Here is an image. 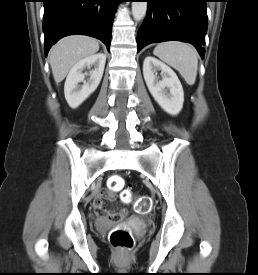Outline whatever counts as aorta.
<instances>
[{
    "mask_svg": "<svg viewBox=\"0 0 258 275\" xmlns=\"http://www.w3.org/2000/svg\"><path fill=\"white\" fill-rule=\"evenodd\" d=\"M147 11V2H132V15L135 21H141Z\"/></svg>",
    "mask_w": 258,
    "mask_h": 275,
    "instance_id": "obj_1",
    "label": "aorta"
}]
</instances>
